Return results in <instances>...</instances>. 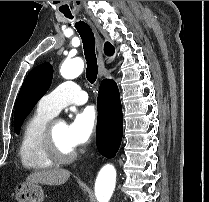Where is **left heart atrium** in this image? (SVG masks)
<instances>
[{
	"label": "left heart atrium",
	"mask_w": 209,
	"mask_h": 202,
	"mask_svg": "<svg viewBox=\"0 0 209 202\" xmlns=\"http://www.w3.org/2000/svg\"><path fill=\"white\" fill-rule=\"evenodd\" d=\"M97 111L92 105L76 110L67 126V140L73 148L87 143L96 130Z\"/></svg>",
	"instance_id": "left-heart-atrium-1"
}]
</instances>
